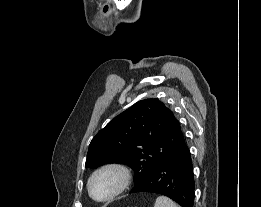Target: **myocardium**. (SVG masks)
Masks as SVG:
<instances>
[{
    "mask_svg": "<svg viewBox=\"0 0 261 207\" xmlns=\"http://www.w3.org/2000/svg\"><path fill=\"white\" fill-rule=\"evenodd\" d=\"M104 172H112L116 174L119 178V182L116 189L108 197L103 199H98L92 193V182L96 176ZM130 181H131V173L126 166L118 163L105 164L99 167L98 169H96L89 177L87 183L88 193L94 201L98 203H106L113 200L121 193H123L128 188Z\"/></svg>",
    "mask_w": 261,
    "mask_h": 207,
    "instance_id": "obj_1",
    "label": "myocardium"
}]
</instances>
